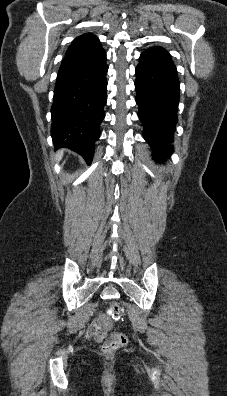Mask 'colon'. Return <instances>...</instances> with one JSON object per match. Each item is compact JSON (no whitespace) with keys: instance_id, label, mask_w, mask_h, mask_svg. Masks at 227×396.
<instances>
[{"instance_id":"1","label":"colon","mask_w":227,"mask_h":396,"mask_svg":"<svg viewBox=\"0 0 227 396\" xmlns=\"http://www.w3.org/2000/svg\"><path fill=\"white\" fill-rule=\"evenodd\" d=\"M107 313L113 321H118L122 315L120 302L114 301L109 306ZM127 336L121 332H114L112 338L103 346L105 353H113L127 344Z\"/></svg>"}]
</instances>
